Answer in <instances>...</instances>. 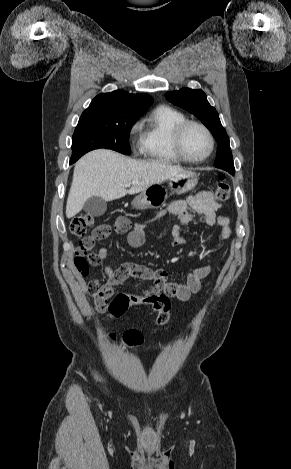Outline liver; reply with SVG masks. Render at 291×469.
Returning <instances> with one entry per match:
<instances>
[{"label": "liver", "instance_id": "obj_1", "mask_svg": "<svg viewBox=\"0 0 291 469\" xmlns=\"http://www.w3.org/2000/svg\"><path fill=\"white\" fill-rule=\"evenodd\" d=\"M184 170L158 161L128 158L107 149H97L84 155L75 165L66 204V216L78 214L92 196L112 201L126 194H136L149 186L170 179ZM133 183L127 190L126 185Z\"/></svg>", "mask_w": 291, "mask_h": 469}]
</instances>
